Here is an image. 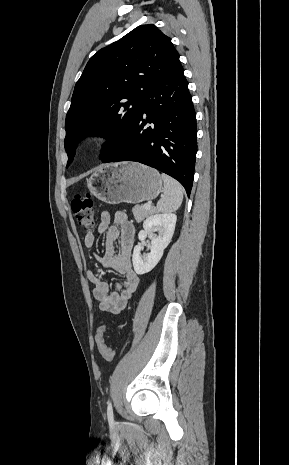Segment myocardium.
<instances>
[{"label": "myocardium", "mask_w": 289, "mask_h": 465, "mask_svg": "<svg viewBox=\"0 0 289 465\" xmlns=\"http://www.w3.org/2000/svg\"><path fill=\"white\" fill-rule=\"evenodd\" d=\"M113 140L112 133L102 127L92 129L84 140V147L86 150L95 152L107 147Z\"/></svg>", "instance_id": "myocardium-1"}]
</instances>
